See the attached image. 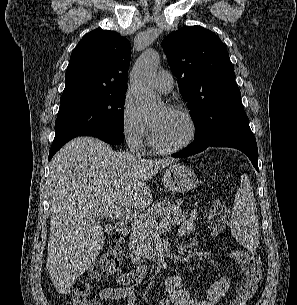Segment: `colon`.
Listing matches in <instances>:
<instances>
[{"mask_svg":"<svg viewBox=\"0 0 297 305\" xmlns=\"http://www.w3.org/2000/svg\"><path fill=\"white\" fill-rule=\"evenodd\" d=\"M229 208L219 199L211 206L207 225L210 233L221 236L228 226ZM233 259L239 265L243 282L239 285L236 295L229 305H248L256 294L262 280V263L253 252L244 249L231 251ZM124 260V245L119 237L114 238L107 246L99 259L93 263L86 277L78 279L67 293L68 305H97L91 281L103 280L115 275Z\"/></svg>","mask_w":297,"mask_h":305,"instance_id":"5ec220e1","label":"colon"}]
</instances>
